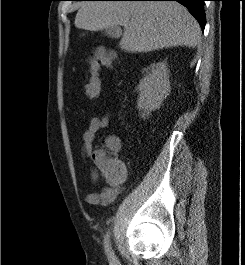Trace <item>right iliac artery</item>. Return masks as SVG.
<instances>
[{"label":"right iliac artery","mask_w":245,"mask_h":265,"mask_svg":"<svg viewBox=\"0 0 245 265\" xmlns=\"http://www.w3.org/2000/svg\"><path fill=\"white\" fill-rule=\"evenodd\" d=\"M109 232H107L105 239H104V247H105V251L108 255V258L112 261L115 260V256L113 251L111 250V245H110V240H109Z\"/></svg>","instance_id":"right-iliac-artery-1"}]
</instances>
